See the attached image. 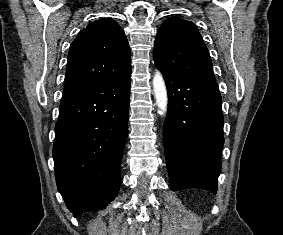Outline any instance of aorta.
Segmentation results:
<instances>
[{"label": "aorta", "instance_id": "aorta-1", "mask_svg": "<svg viewBox=\"0 0 283 235\" xmlns=\"http://www.w3.org/2000/svg\"><path fill=\"white\" fill-rule=\"evenodd\" d=\"M153 92L159 114L165 115L167 112L168 96L163 76L159 71H156L153 78Z\"/></svg>", "mask_w": 283, "mask_h": 235}]
</instances>
